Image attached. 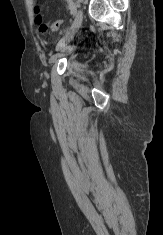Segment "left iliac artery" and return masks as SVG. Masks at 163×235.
I'll list each match as a JSON object with an SVG mask.
<instances>
[{"label":"left iliac artery","instance_id":"left-iliac-artery-1","mask_svg":"<svg viewBox=\"0 0 163 235\" xmlns=\"http://www.w3.org/2000/svg\"><path fill=\"white\" fill-rule=\"evenodd\" d=\"M69 8H70L71 14L74 16L75 13H76V6H75V4L73 2H70Z\"/></svg>","mask_w":163,"mask_h":235}]
</instances>
